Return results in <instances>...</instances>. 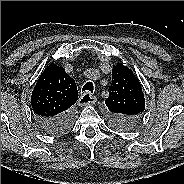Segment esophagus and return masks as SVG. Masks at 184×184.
<instances>
[{"label":"esophagus","mask_w":184,"mask_h":184,"mask_svg":"<svg viewBox=\"0 0 184 184\" xmlns=\"http://www.w3.org/2000/svg\"><path fill=\"white\" fill-rule=\"evenodd\" d=\"M97 98L93 95H91L88 92H85L84 94H82L78 100V105L79 106H86V105H92L94 103H96Z\"/></svg>","instance_id":"obj_1"}]
</instances>
